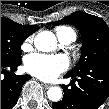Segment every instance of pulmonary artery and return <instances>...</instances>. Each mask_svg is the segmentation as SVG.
Wrapping results in <instances>:
<instances>
[{"label": "pulmonary artery", "instance_id": "pulmonary-artery-1", "mask_svg": "<svg viewBox=\"0 0 109 109\" xmlns=\"http://www.w3.org/2000/svg\"><path fill=\"white\" fill-rule=\"evenodd\" d=\"M74 38L73 37H66V38H62L60 41L64 44V45H69L72 42H74Z\"/></svg>", "mask_w": 109, "mask_h": 109}]
</instances>
